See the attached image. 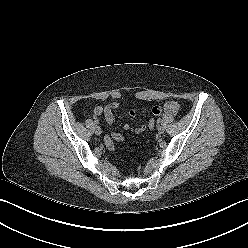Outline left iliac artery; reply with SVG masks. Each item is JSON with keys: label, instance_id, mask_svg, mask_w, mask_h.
I'll list each match as a JSON object with an SVG mask.
<instances>
[{"label": "left iliac artery", "instance_id": "obj_1", "mask_svg": "<svg viewBox=\"0 0 248 248\" xmlns=\"http://www.w3.org/2000/svg\"><path fill=\"white\" fill-rule=\"evenodd\" d=\"M160 122H161V119H158V120H157V123H160Z\"/></svg>", "mask_w": 248, "mask_h": 248}]
</instances>
